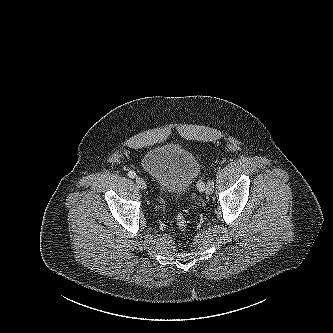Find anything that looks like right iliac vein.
I'll list each match as a JSON object with an SVG mask.
<instances>
[{"label": "right iliac vein", "instance_id": "1", "mask_svg": "<svg viewBox=\"0 0 333 333\" xmlns=\"http://www.w3.org/2000/svg\"><path fill=\"white\" fill-rule=\"evenodd\" d=\"M135 182L140 189L145 190L147 188L146 182L141 177H136Z\"/></svg>", "mask_w": 333, "mask_h": 333}]
</instances>
